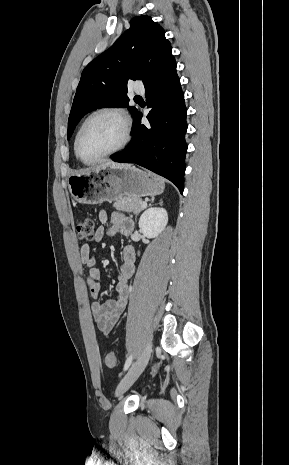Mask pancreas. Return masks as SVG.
I'll return each mask as SVG.
<instances>
[{
  "label": "pancreas",
  "instance_id": "cf45deb5",
  "mask_svg": "<svg viewBox=\"0 0 289 465\" xmlns=\"http://www.w3.org/2000/svg\"><path fill=\"white\" fill-rule=\"evenodd\" d=\"M142 202L141 198L122 197L113 204V207L118 211L133 212L137 215L143 210Z\"/></svg>",
  "mask_w": 289,
  "mask_h": 465
}]
</instances>
